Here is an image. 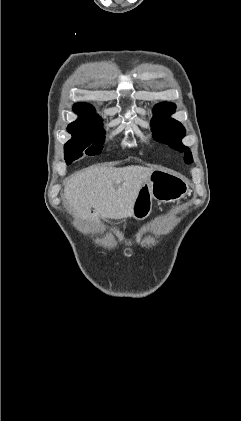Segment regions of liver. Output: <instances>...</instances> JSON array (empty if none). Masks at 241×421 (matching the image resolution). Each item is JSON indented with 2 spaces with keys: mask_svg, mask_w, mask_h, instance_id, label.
<instances>
[{
  "mask_svg": "<svg viewBox=\"0 0 241 421\" xmlns=\"http://www.w3.org/2000/svg\"><path fill=\"white\" fill-rule=\"evenodd\" d=\"M151 171L138 165L86 169L70 177L64 188L65 200L84 220L99 223L100 219L131 217L133 202Z\"/></svg>",
  "mask_w": 241,
  "mask_h": 421,
  "instance_id": "1",
  "label": "liver"
}]
</instances>
